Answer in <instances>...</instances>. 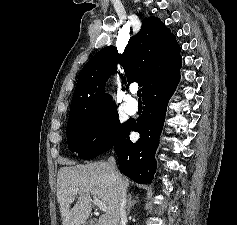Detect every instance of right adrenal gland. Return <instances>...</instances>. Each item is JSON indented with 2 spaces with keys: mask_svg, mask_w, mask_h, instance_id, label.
Instances as JSON below:
<instances>
[{
  "mask_svg": "<svg viewBox=\"0 0 237 225\" xmlns=\"http://www.w3.org/2000/svg\"><path fill=\"white\" fill-rule=\"evenodd\" d=\"M137 203L136 200H132V194H128V200H127V214L130 213L131 207L134 206Z\"/></svg>",
  "mask_w": 237,
  "mask_h": 225,
  "instance_id": "right-adrenal-gland-1",
  "label": "right adrenal gland"
}]
</instances>
